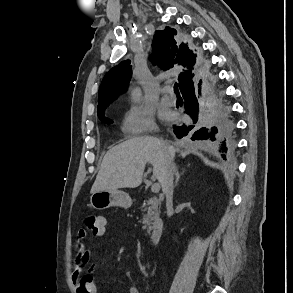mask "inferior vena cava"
Listing matches in <instances>:
<instances>
[{
	"label": "inferior vena cava",
	"instance_id": "inferior-vena-cava-1",
	"mask_svg": "<svg viewBox=\"0 0 293 293\" xmlns=\"http://www.w3.org/2000/svg\"><path fill=\"white\" fill-rule=\"evenodd\" d=\"M174 165L172 164V161L169 160L167 163V170L162 182V190L166 195V208H167V214L170 215V211L172 209L173 205V176H174Z\"/></svg>",
	"mask_w": 293,
	"mask_h": 293
}]
</instances>
